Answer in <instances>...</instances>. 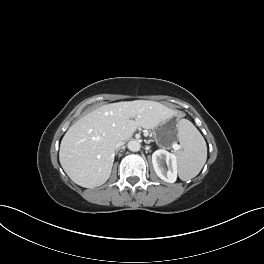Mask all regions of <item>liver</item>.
Returning a JSON list of instances; mask_svg holds the SVG:
<instances>
[{
  "mask_svg": "<svg viewBox=\"0 0 264 264\" xmlns=\"http://www.w3.org/2000/svg\"><path fill=\"white\" fill-rule=\"evenodd\" d=\"M173 115V110L155 101L103 105L68 129L60 144V164L76 184L100 186L110 177L118 141L130 139L138 127L153 129Z\"/></svg>",
  "mask_w": 264,
  "mask_h": 264,
  "instance_id": "1",
  "label": "liver"
}]
</instances>
